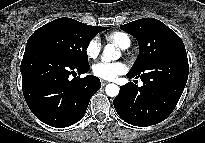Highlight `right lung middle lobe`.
I'll return each mask as SVG.
<instances>
[{
	"mask_svg": "<svg viewBox=\"0 0 205 143\" xmlns=\"http://www.w3.org/2000/svg\"><path fill=\"white\" fill-rule=\"evenodd\" d=\"M108 29L104 27L103 30ZM102 30L71 18H58L37 29L27 45H38L54 51L69 63L87 66L90 40Z\"/></svg>",
	"mask_w": 205,
	"mask_h": 143,
	"instance_id": "dd1d6c3e",
	"label": "right lung middle lobe"
}]
</instances>
